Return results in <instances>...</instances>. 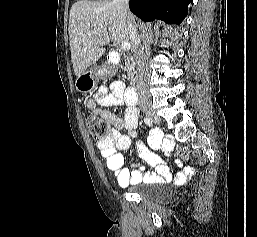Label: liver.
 Wrapping results in <instances>:
<instances>
[{
	"label": "liver",
	"mask_w": 257,
	"mask_h": 237,
	"mask_svg": "<svg viewBox=\"0 0 257 237\" xmlns=\"http://www.w3.org/2000/svg\"><path fill=\"white\" fill-rule=\"evenodd\" d=\"M135 22L112 2L80 0L74 3L69 14V41L76 76L95 64L105 53L110 42L120 44L130 40L127 19ZM96 30V34L92 31Z\"/></svg>",
	"instance_id": "6515ba94"
}]
</instances>
